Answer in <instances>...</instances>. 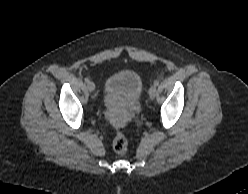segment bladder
<instances>
[{
    "label": "bladder",
    "mask_w": 248,
    "mask_h": 194,
    "mask_svg": "<svg viewBox=\"0 0 248 194\" xmlns=\"http://www.w3.org/2000/svg\"><path fill=\"white\" fill-rule=\"evenodd\" d=\"M143 80L134 70L124 69L110 76L104 86V96L107 99L124 96L130 101V110L135 111L140 107Z\"/></svg>",
    "instance_id": "obj_1"
}]
</instances>
